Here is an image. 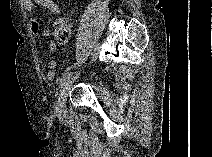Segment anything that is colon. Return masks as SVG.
Wrapping results in <instances>:
<instances>
[{
	"mask_svg": "<svg viewBox=\"0 0 212 157\" xmlns=\"http://www.w3.org/2000/svg\"><path fill=\"white\" fill-rule=\"evenodd\" d=\"M53 32L57 41H68L73 33V24L71 19L68 17H62L57 19L53 25Z\"/></svg>",
	"mask_w": 212,
	"mask_h": 157,
	"instance_id": "obj_1",
	"label": "colon"
}]
</instances>
